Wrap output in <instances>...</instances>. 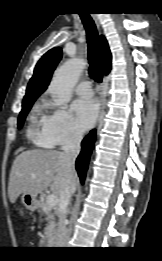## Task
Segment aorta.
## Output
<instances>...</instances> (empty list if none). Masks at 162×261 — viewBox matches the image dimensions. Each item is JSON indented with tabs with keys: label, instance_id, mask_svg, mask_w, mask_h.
<instances>
[{
	"label": "aorta",
	"instance_id": "762f6f07",
	"mask_svg": "<svg viewBox=\"0 0 162 261\" xmlns=\"http://www.w3.org/2000/svg\"><path fill=\"white\" fill-rule=\"evenodd\" d=\"M85 66L84 60L71 59L56 71L49 86V91L56 105L60 106L71 100L73 87Z\"/></svg>",
	"mask_w": 162,
	"mask_h": 261
}]
</instances>
